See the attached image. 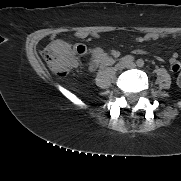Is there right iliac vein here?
I'll use <instances>...</instances> for the list:
<instances>
[{
	"label": "right iliac vein",
	"instance_id": "63e3f726",
	"mask_svg": "<svg viewBox=\"0 0 181 181\" xmlns=\"http://www.w3.org/2000/svg\"><path fill=\"white\" fill-rule=\"evenodd\" d=\"M126 66H127V64L121 61V62H119V63L116 64L115 69L118 70V71H121V70H123Z\"/></svg>",
	"mask_w": 181,
	"mask_h": 181
}]
</instances>
